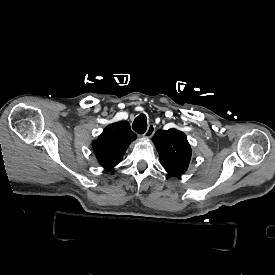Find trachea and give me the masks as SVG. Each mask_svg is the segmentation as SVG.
Instances as JSON below:
<instances>
[{
    "label": "trachea",
    "mask_w": 275,
    "mask_h": 275,
    "mask_svg": "<svg viewBox=\"0 0 275 275\" xmlns=\"http://www.w3.org/2000/svg\"><path fill=\"white\" fill-rule=\"evenodd\" d=\"M132 128L138 134H143L147 130V117L144 114L139 115L135 118Z\"/></svg>",
    "instance_id": "obj_1"
}]
</instances>
